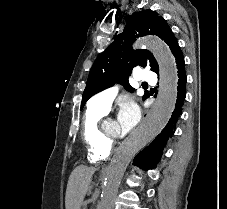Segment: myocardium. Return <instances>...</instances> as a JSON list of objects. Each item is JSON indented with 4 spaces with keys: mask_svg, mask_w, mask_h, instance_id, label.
Wrapping results in <instances>:
<instances>
[{
    "mask_svg": "<svg viewBox=\"0 0 227 209\" xmlns=\"http://www.w3.org/2000/svg\"><path fill=\"white\" fill-rule=\"evenodd\" d=\"M103 123H106V122H103ZM104 125L99 126V136L101 140L109 146L120 144L123 141L124 137H111L105 131Z\"/></svg>",
    "mask_w": 227,
    "mask_h": 209,
    "instance_id": "myocardium-1",
    "label": "myocardium"
}]
</instances>
